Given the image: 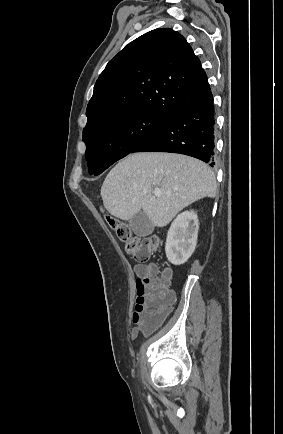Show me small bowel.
<instances>
[{"mask_svg": "<svg viewBox=\"0 0 283 434\" xmlns=\"http://www.w3.org/2000/svg\"><path fill=\"white\" fill-rule=\"evenodd\" d=\"M134 272L138 278L153 276L157 273V266L154 263L137 264L134 266ZM140 332L141 330L138 327L134 328L132 330V337L136 338Z\"/></svg>", "mask_w": 283, "mask_h": 434, "instance_id": "obj_1", "label": "small bowel"}]
</instances>
